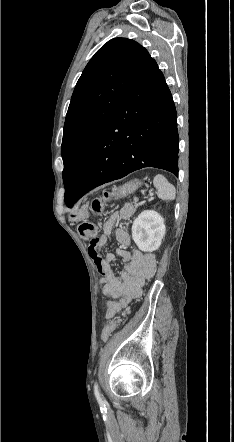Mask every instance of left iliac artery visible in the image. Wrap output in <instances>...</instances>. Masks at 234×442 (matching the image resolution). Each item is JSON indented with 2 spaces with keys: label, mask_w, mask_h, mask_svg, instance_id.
<instances>
[{
  "label": "left iliac artery",
  "mask_w": 234,
  "mask_h": 442,
  "mask_svg": "<svg viewBox=\"0 0 234 442\" xmlns=\"http://www.w3.org/2000/svg\"><path fill=\"white\" fill-rule=\"evenodd\" d=\"M94 394H95V397H96L98 403L99 404H103L104 403V398H103V396H102V394H101V392L99 390V387H98L97 383L94 384Z\"/></svg>",
  "instance_id": "left-iliac-artery-1"
}]
</instances>
